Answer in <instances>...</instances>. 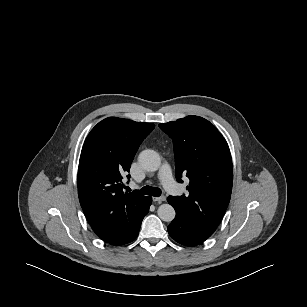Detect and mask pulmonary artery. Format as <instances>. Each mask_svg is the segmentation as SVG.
<instances>
[{
  "label": "pulmonary artery",
  "instance_id": "pulmonary-artery-1",
  "mask_svg": "<svg viewBox=\"0 0 307 307\" xmlns=\"http://www.w3.org/2000/svg\"><path fill=\"white\" fill-rule=\"evenodd\" d=\"M159 179L168 192L176 194L179 191L178 186L173 180L171 168L166 162L159 171Z\"/></svg>",
  "mask_w": 307,
  "mask_h": 307
}]
</instances>
